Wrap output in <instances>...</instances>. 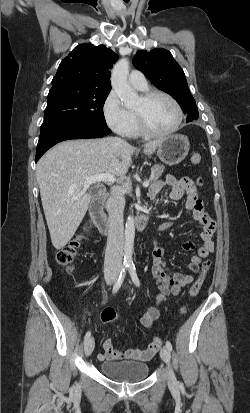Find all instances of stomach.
Returning a JSON list of instances; mask_svg holds the SVG:
<instances>
[{"label":"stomach","mask_w":250,"mask_h":413,"mask_svg":"<svg viewBox=\"0 0 250 413\" xmlns=\"http://www.w3.org/2000/svg\"><path fill=\"white\" fill-rule=\"evenodd\" d=\"M189 140L182 134H174L160 140L157 156L168 165H176L184 160L189 151Z\"/></svg>","instance_id":"1"}]
</instances>
